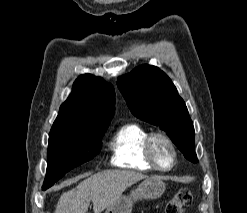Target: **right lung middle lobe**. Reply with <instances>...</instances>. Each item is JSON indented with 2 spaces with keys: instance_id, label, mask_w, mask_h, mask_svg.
I'll return each instance as SVG.
<instances>
[{
  "instance_id": "obj_1",
  "label": "right lung middle lobe",
  "mask_w": 247,
  "mask_h": 213,
  "mask_svg": "<svg viewBox=\"0 0 247 213\" xmlns=\"http://www.w3.org/2000/svg\"><path fill=\"white\" fill-rule=\"evenodd\" d=\"M108 125L89 130L51 129L47 173L42 189L51 187L65 173L96 156L101 150V140Z\"/></svg>"
}]
</instances>
